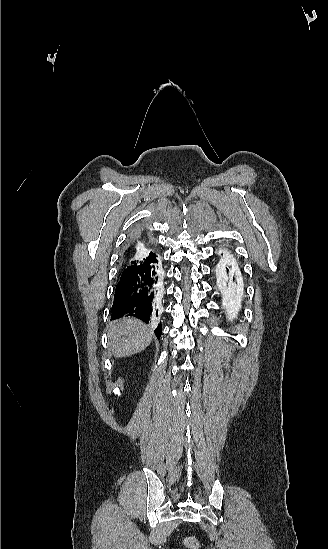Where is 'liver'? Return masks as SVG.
I'll use <instances>...</instances> for the list:
<instances>
[{
	"label": "liver",
	"mask_w": 328,
	"mask_h": 549,
	"mask_svg": "<svg viewBox=\"0 0 328 549\" xmlns=\"http://www.w3.org/2000/svg\"><path fill=\"white\" fill-rule=\"evenodd\" d=\"M114 357H130L144 351L152 341V333L139 319L125 317L114 321L108 331Z\"/></svg>",
	"instance_id": "obj_1"
}]
</instances>
